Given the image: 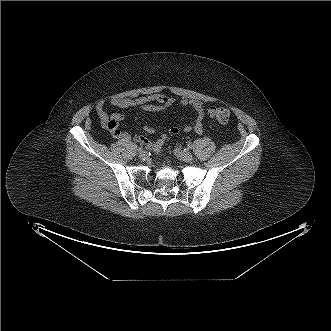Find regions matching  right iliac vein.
<instances>
[{
	"label": "right iliac vein",
	"mask_w": 331,
	"mask_h": 331,
	"mask_svg": "<svg viewBox=\"0 0 331 331\" xmlns=\"http://www.w3.org/2000/svg\"><path fill=\"white\" fill-rule=\"evenodd\" d=\"M147 156H148L147 152H145V151H142L139 153V159H141V160H145L147 158Z\"/></svg>",
	"instance_id": "right-iliac-vein-1"
}]
</instances>
